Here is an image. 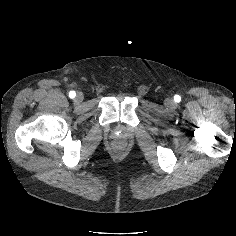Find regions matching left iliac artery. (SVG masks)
<instances>
[{"mask_svg": "<svg viewBox=\"0 0 236 236\" xmlns=\"http://www.w3.org/2000/svg\"><path fill=\"white\" fill-rule=\"evenodd\" d=\"M175 99H176V101H179L180 100V96L176 95Z\"/></svg>", "mask_w": 236, "mask_h": 236, "instance_id": "44dca946", "label": "left iliac artery"}]
</instances>
